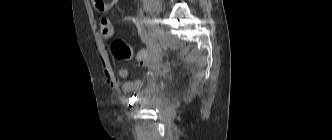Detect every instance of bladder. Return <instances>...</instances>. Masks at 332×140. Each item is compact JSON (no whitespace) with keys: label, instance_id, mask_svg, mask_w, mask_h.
Wrapping results in <instances>:
<instances>
[{"label":"bladder","instance_id":"1","mask_svg":"<svg viewBox=\"0 0 332 140\" xmlns=\"http://www.w3.org/2000/svg\"><path fill=\"white\" fill-rule=\"evenodd\" d=\"M156 93V87H153L152 90L146 92L145 94H142L139 97V101L142 103H149L152 99L153 94Z\"/></svg>","mask_w":332,"mask_h":140}]
</instances>
